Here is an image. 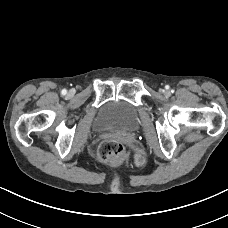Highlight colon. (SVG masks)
Wrapping results in <instances>:
<instances>
[{
  "label": "colon",
  "instance_id": "obj_1",
  "mask_svg": "<svg viewBox=\"0 0 228 228\" xmlns=\"http://www.w3.org/2000/svg\"><path fill=\"white\" fill-rule=\"evenodd\" d=\"M124 146L116 140L103 141L97 150V156L102 161L121 157L124 154Z\"/></svg>",
  "mask_w": 228,
  "mask_h": 228
}]
</instances>
